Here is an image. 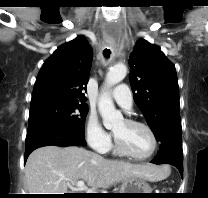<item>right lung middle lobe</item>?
Returning a JSON list of instances; mask_svg holds the SVG:
<instances>
[{
    "instance_id": "obj_1",
    "label": "right lung middle lobe",
    "mask_w": 208,
    "mask_h": 198,
    "mask_svg": "<svg viewBox=\"0 0 208 198\" xmlns=\"http://www.w3.org/2000/svg\"><path fill=\"white\" fill-rule=\"evenodd\" d=\"M86 104L78 101H54L30 107L27 134L47 127H63L84 137Z\"/></svg>"
}]
</instances>
